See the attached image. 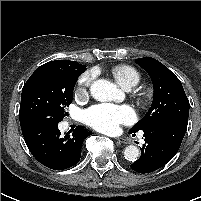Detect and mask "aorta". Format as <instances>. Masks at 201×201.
<instances>
[{"label":"aorta","instance_id":"762f6f07","mask_svg":"<svg viewBox=\"0 0 201 201\" xmlns=\"http://www.w3.org/2000/svg\"><path fill=\"white\" fill-rule=\"evenodd\" d=\"M90 93L97 101L107 102L114 100L119 94V90L115 84L104 79H99L92 83ZM139 155L140 151L135 145H129L124 150L125 159L128 161H136Z\"/></svg>","mask_w":201,"mask_h":201}]
</instances>
